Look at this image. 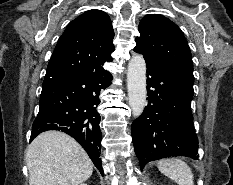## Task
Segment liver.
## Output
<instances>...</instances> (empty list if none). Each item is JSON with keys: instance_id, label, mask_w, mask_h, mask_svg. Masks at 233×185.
Segmentation results:
<instances>
[{"instance_id": "liver-1", "label": "liver", "mask_w": 233, "mask_h": 185, "mask_svg": "<svg viewBox=\"0 0 233 185\" xmlns=\"http://www.w3.org/2000/svg\"><path fill=\"white\" fill-rule=\"evenodd\" d=\"M26 164L29 185H78L93 172L85 150L60 131L38 135L26 150Z\"/></svg>"}]
</instances>
